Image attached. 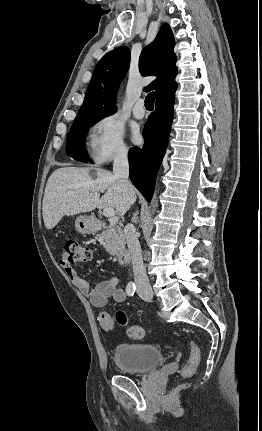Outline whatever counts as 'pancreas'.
<instances>
[{
  "label": "pancreas",
  "mask_w": 262,
  "mask_h": 431,
  "mask_svg": "<svg viewBox=\"0 0 262 431\" xmlns=\"http://www.w3.org/2000/svg\"><path fill=\"white\" fill-rule=\"evenodd\" d=\"M99 238L103 240L104 248L111 255H117L125 249V238L117 221L111 222Z\"/></svg>",
  "instance_id": "1"
}]
</instances>
